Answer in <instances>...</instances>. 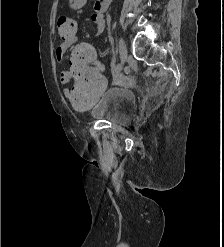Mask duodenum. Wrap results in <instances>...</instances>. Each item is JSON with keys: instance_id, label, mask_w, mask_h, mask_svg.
Segmentation results:
<instances>
[{"instance_id": "duodenum-1", "label": "duodenum", "mask_w": 224, "mask_h": 247, "mask_svg": "<svg viewBox=\"0 0 224 247\" xmlns=\"http://www.w3.org/2000/svg\"><path fill=\"white\" fill-rule=\"evenodd\" d=\"M111 2H112V0H98L97 1V10L101 11V12L105 11Z\"/></svg>"}]
</instances>
